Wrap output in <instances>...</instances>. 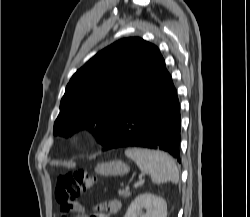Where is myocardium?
<instances>
[{
	"mask_svg": "<svg viewBox=\"0 0 250 217\" xmlns=\"http://www.w3.org/2000/svg\"><path fill=\"white\" fill-rule=\"evenodd\" d=\"M80 139H81V140H84V137H81Z\"/></svg>",
	"mask_w": 250,
	"mask_h": 217,
	"instance_id": "obj_1",
	"label": "myocardium"
}]
</instances>
